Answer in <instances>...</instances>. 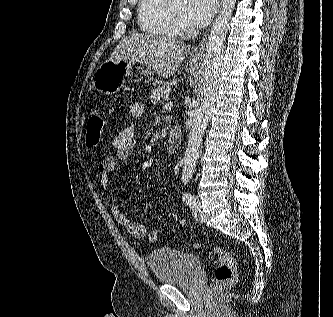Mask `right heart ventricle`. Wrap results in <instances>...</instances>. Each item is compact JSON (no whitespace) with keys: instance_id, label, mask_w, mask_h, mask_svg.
Wrapping results in <instances>:
<instances>
[{"instance_id":"1","label":"right heart ventricle","mask_w":333,"mask_h":317,"mask_svg":"<svg viewBox=\"0 0 333 317\" xmlns=\"http://www.w3.org/2000/svg\"><path fill=\"white\" fill-rule=\"evenodd\" d=\"M166 2L167 0H139L137 20L144 33L165 39L178 36V27L167 13Z\"/></svg>"}]
</instances>
